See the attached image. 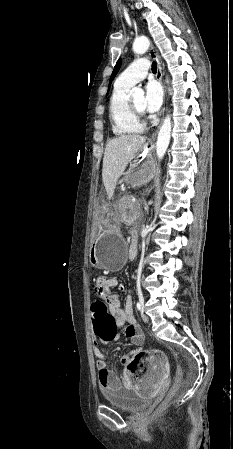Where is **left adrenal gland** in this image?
Returning a JSON list of instances; mask_svg holds the SVG:
<instances>
[{
    "label": "left adrenal gland",
    "instance_id": "1",
    "mask_svg": "<svg viewBox=\"0 0 233 449\" xmlns=\"http://www.w3.org/2000/svg\"><path fill=\"white\" fill-rule=\"evenodd\" d=\"M145 209L148 211V206L147 205L145 206Z\"/></svg>",
    "mask_w": 233,
    "mask_h": 449
}]
</instances>
